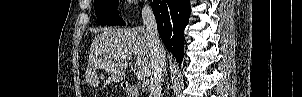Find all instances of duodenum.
<instances>
[{
	"instance_id": "duodenum-1",
	"label": "duodenum",
	"mask_w": 302,
	"mask_h": 97,
	"mask_svg": "<svg viewBox=\"0 0 302 97\" xmlns=\"http://www.w3.org/2000/svg\"><path fill=\"white\" fill-rule=\"evenodd\" d=\"M123 88L125 92L128 94L130 97H139V89L132 84H130L128 81H124L122 83Z\"/></svg>"
}]
</instances>
